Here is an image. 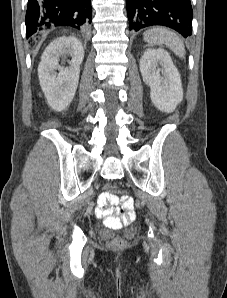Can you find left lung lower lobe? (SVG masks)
I'll list each match as a JSON object with an SVG mask.
<instances>
[{"label":"left lung lower lobe","mask_w":227,"mask_h":298,"mask_svg":"<svg viewBox=\"0 0 227 298\" xmlns=\"http://www.w3.org/2000/svg\"><path fill=\"white\" fill-rule=\"evenodd\" d=\"M126 6L130 30L163 25L177 30L184 37L192 34L190 0H126Z\"/></svg>","instance_id":"obj_1"}]
</instances>
